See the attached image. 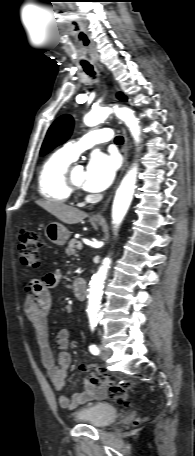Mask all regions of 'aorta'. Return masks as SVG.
Wrapping results in <instances>:
<instances>
[{"mask_svg": "<svg viewBox=\"0 0 195 456\" xmlns=\"http://www.w3.org/2000/svg\"><path fill=\"white\" fill-rule=\"evenodd\" d=\"M112 112L125 122L136 144L140 142L141 128L139 120L135 117L134 112L126 107H100L93 109L84 117L85 125L92 127L103 122ZM138 168L137 164L125 174L114 197L112 206V221L116 231L123 221L128 208L133 199L135 185L137 181ZM111 260L107 257L104 259L102 266L96 274L93 275L90 290L88 294L87 313L90 319L97 316L103 294L104 281L110 267Z\"/></svg>", "mask_w": 195, "mask_h": 456, "instance_id": "762f6f07", "label": "aorta"}]
</instances>
